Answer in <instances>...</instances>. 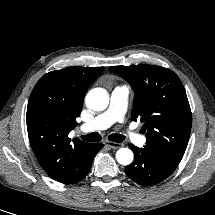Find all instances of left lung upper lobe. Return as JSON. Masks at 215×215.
I'll list each match as a JSON object with an SVG mask.
<instances>
[{
    "label": "left lung upper lobe",
    "instance_id": "1",
    "mask_svg": "<svg viewBox=\"0 0 215 215\" xmlns=\"http://www.w3.org/2000/svg\"><path fill=\"white\" fill-rule=\"evenodd\" d=\"M134 89L132 120L144 123L146 146L178 165L191 131V110L184 86L170 69L155 65L112 66Z\"/></svg>",
    "mask_w": 215,
    "mask_h": 215
}]
</instances>
